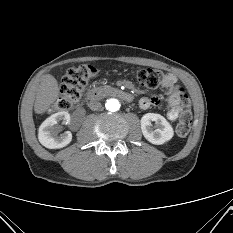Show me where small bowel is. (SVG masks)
<instances>
[{"label":"small bowel","instance_id":"obj_1","mask_svg":"<svg viewBox=\"0 0 233 233\" xmlns=\"http://www.w3.org/2000/svg\"><path fill=\"white\" fill-rule=\"evenodd\" d=\"M163 88L166 89V99L164 102L158 97H143L139 101V106L142 109H147L151 105L165 104L167 108V118L170 121H175L182 111V101L180 96V86L178 79L174 74H166L162 83Z\"/></svg>","mask_w":233,"mask_h":233}]
</instances>
